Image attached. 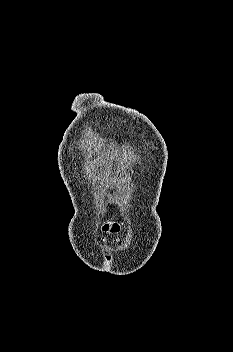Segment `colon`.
Returning a JSON list of instances; mask_svg holds the SVG:
<instances>
[{"instance_id":"obj_1","label":"colon","mask_w":233,"mask_h":352,"mask_svg":"<svg viewBox=\"0 0 233 352\" xmlns=\"http://www.w3.org/2000/svg\"><path fill=\"white\" fill-rule=\"evenodd\" d=\"M118 229H119V226L115 223H109L104 226V230L107 231L108 233L117 232Z\"/></svg>"}]
</instances>
